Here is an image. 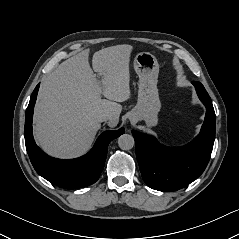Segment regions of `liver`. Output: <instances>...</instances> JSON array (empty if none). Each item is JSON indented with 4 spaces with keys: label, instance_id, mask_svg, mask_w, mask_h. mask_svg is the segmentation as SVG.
<instances>
[{
    "label": "liver",
    "instance_id": "liver-1",
    "mask_svg": "<svg viewBox=\"0 0 239 239\" xmlns=\"http://www.w3.org/2000/svg\"><path fill=\"white\" fill-rule=\"evenodd\" d=\"M130 45H117L93 54L82 51L62 62L42 82L34 109V137L51 156L75 158L90 148L101 124L96 117L109 114V125L119 122L130 97ZM106 99H102L101 96Z\"/></svg>",
    "mask_w": 239,
    "mask_h": 239
}]
</instances>
